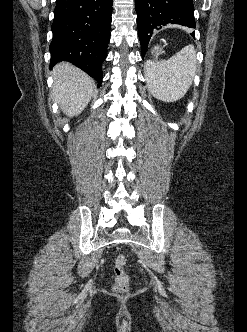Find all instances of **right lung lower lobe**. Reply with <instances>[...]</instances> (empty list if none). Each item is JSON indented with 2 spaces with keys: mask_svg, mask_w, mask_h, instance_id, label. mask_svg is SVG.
<instances>
[{
  "mask_svg": "<svg viewBox=\"0 0 247 332\" xmlns=\"http://www.w3.org/2000/svg\"><path fill=\"white\" fill-rule=\"evenodd\" d=\"M111 15L112 0H56L49 48L51 67L69 61L95 78L100 86Z\"/></svg>",
  "mask_w": 247,
  "mask_h": 332,
  "instance_id": "1",
  "label": "right lung lower lobe"
}]
</instances>
